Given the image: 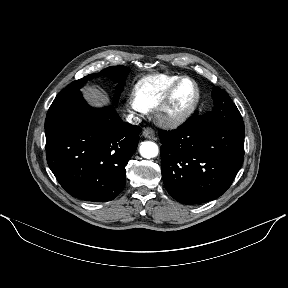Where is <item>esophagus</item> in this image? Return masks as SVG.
<instances>
[{"label": "esophagus", "mask_w": 288, "mask_h": 288, "mask_svg": "<svg viewBox=\"0 0 288 288\" xmlns=\"http://www.w3.org/2000/svg\"><path fill=\"white\" fill-rule=\"evenodd\" d=\"M143 136L148 139H153L155 137V132L152 128L147 127L143 130Z\"/></svg>", "instance_id": "obj_1"}]
</instances>
